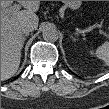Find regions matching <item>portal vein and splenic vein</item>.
<instances>
[{"label": "portal vein and splenic vein", "mask_w": 109, "mask_h": 109, "mask_svg": "<svg viewBox=\"0 0 109 109\" xmlns=\"http://www.w3.org/2000/svg\"><path fill=\"white\" fill-rule=\"evenodd\" d=\"M8 4H10V3H8ZM16 7L18 8V5H16ZM83 32H86V30H84Z\"/></svg>", "instance_id": "obj_1"}]
</instances>
